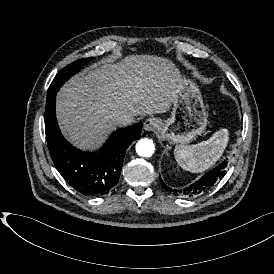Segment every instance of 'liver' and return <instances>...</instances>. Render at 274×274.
Wrapping results in <instances>:
<instances>
[{"instance_id": "obj_1", "label": "liver", "mask_w": 274, "mask_h": 274, "mask_svg": "<svg viewBox=\"0 0 274 274\" xmlns=\"http://www.w3.org/2000/svg\"><path fill=\"white\" fill-rule=\"evenodd\" d=\"M181 80L173 63L155 56L94 64L58 94L60 124L75 144L94 148L120 126L123 113L137 117L169 111Z\"/></svg>"}]
</instances>
